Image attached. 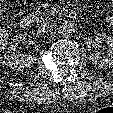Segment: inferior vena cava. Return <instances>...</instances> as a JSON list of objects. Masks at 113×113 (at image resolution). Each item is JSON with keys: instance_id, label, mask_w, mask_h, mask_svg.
<instances>
[{"instance_id": "602c4592", "label": "inferior vena cava", "mask_w": 113, "mask_h": 113, "mask_svg": "<svg viewBox=\"0 0 113 113\" xmlns=\"http://www.w3.org/2000/svg\"><path fill=\"white\" fill-rule=\"evenodd\" d=\"M53 28H54V24L52 22H45L39 26L38 32L39 33H46V32L51 31Z\"/></svg>"}]
</instances>
